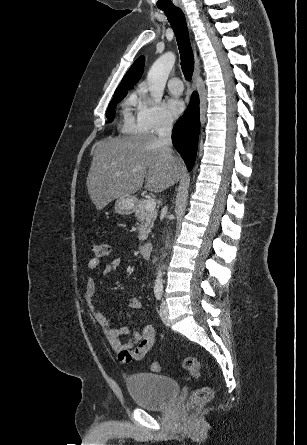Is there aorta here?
Wrapping results in <instances>:
<instances>
[{
    "mask_svg": "<svg viewBox=\"0 0 307 445\" xmlns=\"http://www.w3.org/2000/svg\"><path fill=\"white\" fill-rule=\"evenodd\" d=\"M176 54L174 52H164L155 62H153L148 74L147 84L151 96L155 102H161L167 78L175 64ZM154 291H163V271L158 267Z\"/></svg>",
    "mask_w": 307,
    "mask_h": 445,
    "instance_id": "obj_1",
    "label": "aorta"
}]
</instances>
